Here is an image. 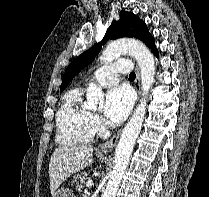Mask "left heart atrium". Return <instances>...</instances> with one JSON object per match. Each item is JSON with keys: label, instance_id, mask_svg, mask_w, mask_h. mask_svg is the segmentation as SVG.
Wrapping results in <instances>:
<instances>
[{"label": "left heart atrium", "instance_id": "obj_1", "mask_svg": "<svg viewBox=\"0 0 209 197\" xmlns=\"http://www.w3.org/2000/svg\"><path fill=\"white\" fill-rule=\"evenodd\" d=\"M133 102L134 97L128 87H114L106 95L104 114L110 122L121 123L130 113Z\"/></svg>", "mask_w": 209, "mask_h": 197}]
</instances>
